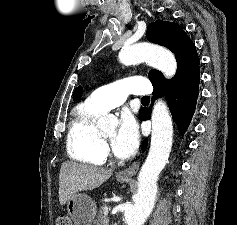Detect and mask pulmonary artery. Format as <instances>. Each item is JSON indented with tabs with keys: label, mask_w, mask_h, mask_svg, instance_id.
<instances>
[{
	"label": "pulmonary artery",
	"mask_w": 237,
	"mask_h": 225,
	"mask_svg": "<svg viewBox=\"0 0 237 225\" xmlns=\"http://www.w3.org/2000/svg\"><path fill=\"white\" fill-rule=\"evenodd\" d=\"M152 92L147 80L143 77H128L101 86L91 93L89 100L105 112L125 102L129 94L143 95Z\"/></svg>",
	"instance_id": "pulmonary-artery-1"
}]
</instances>
